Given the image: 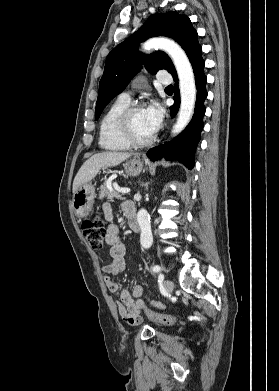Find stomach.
<instances>
[{
  "label": "stomach",
  "instance_id": "stomach-1",
  "mask_svg": "<svg viewBox=\"0 0 279 391\" xmlns=\"http://www.w3.org/2000/svg\"><path fill=\"white\" fill-rule=\"evenodd\" d=\"M123 167L129 176H137L145 170L143 162L138 157L126 161ZM95 198V188L91 182L79 187L72 200L75 215L79 218L87 217L92 210Z\"/></svg>",
  "mask_w": 279,
  "mask_h": 391
}]
</instances>
